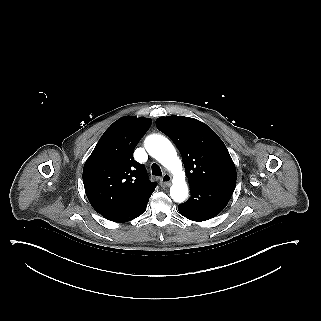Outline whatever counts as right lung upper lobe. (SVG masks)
<instances>
[{"label": "right lung upper lobe", "instance_id": "obj_1", "mask_svg": "<svg viewBox=\"0 0 321 321\" xmlns=\"http://www.w3.org/2000/svg\"><path fill=\"white\" fill-rule=\"evenodd\" d=\"M151 119L121 117L101 136L83 168V183L92 207L104 218L122 213L151 196L144 166L133 152L151 125Z\"/></svg>", "mask_w": 321, "mask_h": 321}]
</instances>
